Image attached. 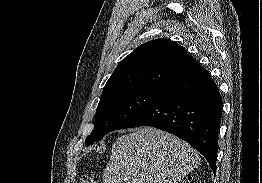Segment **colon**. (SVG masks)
Returning a JSON list of instances; mask_svg holds the SVG:
<instances>
[{
	"mask_svg": "<svg viewBox=\"0 0 262 183\" xmlns=\"http://www.w3.org/2000/svg\"><path fill=\"white\" fill-rule=\"evenodd\" d=\"M80 183H98V182L92 179L91 177L85 176L81 178Z\"/></svg>",
	"mask_w": 262,
	"mask_h": 183,
	"instance_id": "obj_1",
	"label": "colon"
}]
</instances>
